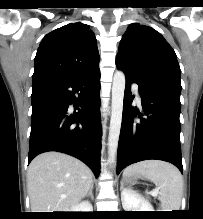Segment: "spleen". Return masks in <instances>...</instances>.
<instances>
[{"label":"spleen","instance_id":"3e777b00","mask_svg":"<svg viewBox=\"0 0 203 219\" xmlns=\"http://www.w3.org/2000/svg\"><path fill=\"white\" fill-rule=\"evenodd\" d=\"M139 175L155 183L163 211L179 210L183 194V179L179 170L167 162L146 160L128 166L123 176Z\"/></svg>","mask_w":203,"mask_h":219}]
</instances>
